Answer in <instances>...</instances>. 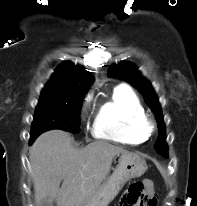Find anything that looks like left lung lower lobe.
Returning <instances> with one entry per match:
<instances>
[{"mask_svg": "<svg viewBox=\"0 0 197 206\" xmlns=\"http://www.w3.org/2000/svg\"><path fill=\"white\" fill-rule=\"evenodd\" d=\"M164 157H166V158H167V157H168V155L166 154Z\"/></svg>", "mask_w": 197, "mask_h": 206, "instance_id": "obj_1", "label": "left lung lower lobe"}]
</instances>
